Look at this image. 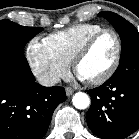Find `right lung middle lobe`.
I'll list each match as a JSON object with an SVG mask.
<instances>
[{"mask_svg":"<svg viewBox=\"0 0 139 139\" xmlns=\"http://www.w3.org/2000/svg\"><path fill=\"white\" fill-rule=\"evenodd\" d=\"M43 28L23 27L10 20L0 21V47H12L24 52L26 43Z\"/></svg>","mask_w":139,"mask_h":139,"instance_id":"obj_1","label":"right lung middle lobe"}]
</instances>
